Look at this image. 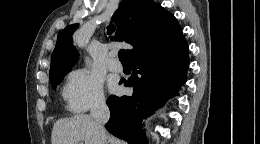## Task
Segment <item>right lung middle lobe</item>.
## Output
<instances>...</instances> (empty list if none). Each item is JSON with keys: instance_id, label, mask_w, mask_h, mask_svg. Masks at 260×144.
<instances>
[{"instance_id": "right-lung-middle-lobe-1", "label": "right lung middle lobe", "mask_w": 260, "mask_h": 144, "mask_svg": "<svg viewBox=\"0 0 260 144\" xmlns=\"http://www.w3.org/2000/svg\"><path fill=\"white\" fill-rule=\"evenodd\" d=\"M71 69H67V70H63V71H59L56 73H53L50 75V82L52 87L55 89L56 86L61 82V80L63 79V77L70 71Z\"/></svg>"}]
</instances>
